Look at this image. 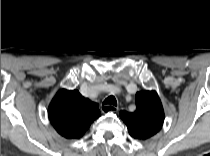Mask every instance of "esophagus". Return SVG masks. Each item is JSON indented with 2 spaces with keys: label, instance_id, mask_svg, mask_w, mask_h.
I'll return each instance as SVG.
<instances>
[{
  "label": "esophagus",
  "instance_id": "34e87169",
  "mask_svg": "<svg viewBox=\"0 0 210 156\" xmlns=\"http://www.w3.org/2000/svg\"><path fill=\"white\" fill-rule=\"evenodd\" d=\"M115 109L118 110V107H115L112 105H102L101 106V110L103 113L113 112Z\"/></svg>",
  "mask_w": 210,
  "mask_h": 156
}]
</instances>
